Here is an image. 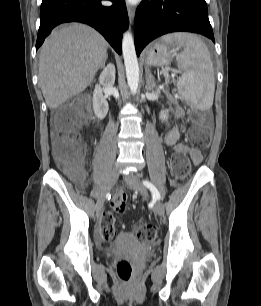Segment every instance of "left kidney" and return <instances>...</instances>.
I'll use <instances>...</instances> for the list:
<instances>
[{
  "mask_svg": "<svg viewBox=\"0 0 261 306\" xmlns=\"http://www.w3.org/2000/svg\"><path fill=\"white\" fill-rule=\"evenodd\" d=\"M169 117V110H162L160 112L159 118L161 121H167Z\"/></svg>",
  "mask_w": 261,
  "mask_h": 306,
  "instance_id": "obj_1",
  "label": "left kidney"
}]
</instances>
